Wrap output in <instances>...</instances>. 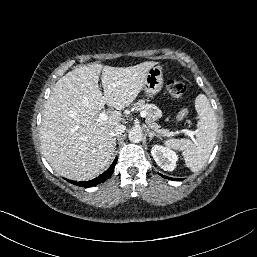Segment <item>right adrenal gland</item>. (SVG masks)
Returning a JSON list of instances; mask_svg holds the SVG:
<instances>
[{
	"mask_svg": "<svg viewBox=\"0 0 257 257\" xmlns=\"http://www.w3.org/2000/svg\"><path fill=\"white\" fill-rule=\"evenodd\" d=\"M114 141V150L116 149V138L113 139Z\"/></svg>",
	"mask_w": 257,
	"mask_h": 257,
	"instance_id": "2a0ac1e0",
	"label": "right adrenal gland"
}]
</instances>
